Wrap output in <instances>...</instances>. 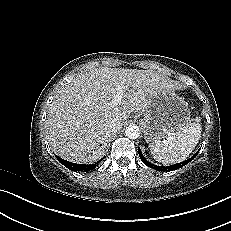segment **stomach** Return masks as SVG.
I'll list each match as a JSON object with an SVG mask.
<instances>
[{"label":"stomach","mask_w":231,"mask_h":231,"mask_svg":"<svg viewBox=\"0 0 231 231\" xmlns=\"http://www.w3.org/2000/svg\"><path fill=\"white\" fill-rule=\"evenodd\" d=\"M144 115L143 131L146 141L168 137L191 120L188 103L174 90L159 91L152 97Z\"/></svg>","instance_id":"obj_1"}]
</instances>
